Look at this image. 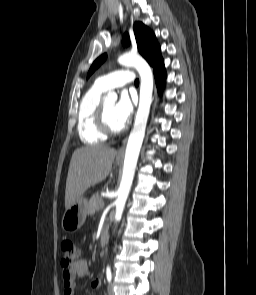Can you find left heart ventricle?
Returning <instances> with one entry per match:
<instances>
[{
    "label": "left heart ventricle",
    "instance_id": "1",
    "mask_svg": "<svg viewBox=\"0 0 256 295\" xmlns=\"http://www.w3.org/2000/svg\"><path fill=\"white\" fill-rule=\"evenodd\" d=\"M105 110H106V117L109 125L114 129H119L121 126L118 124V122L115 119L114 116V109L116 103L114 101L105 102Z\"/></svg>",
    "mask_w": 256,
    "mask_h": 295
}]
</instances>
